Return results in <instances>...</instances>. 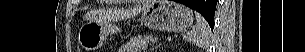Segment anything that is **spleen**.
Instances as JSON below:
<instances>
[{"instance_id": "1", "label": "spleen", "mask_w": 305, "mask_h": 52, "mask_svg": "<svg viewBox=\"0 0 305 52\" xmlns=\"http://www.w3.org/2000/svg\"><path fill=\"white\" fill-rule=\"evenodd\" d=\"M196 24L190 32H187L183 38L199 47H208L210 39V27L207 21L197 12H195Z\"/></svg>"}]
</instances>
